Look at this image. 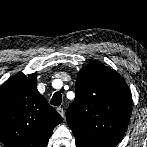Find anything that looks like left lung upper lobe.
<instances>
[{"label": "left lung upper lobe", "instance_id": "5c2ea615", "mask_svg": "<svg viewBox=\"0 0 147 147\" xmlns=\"http://www.w3.org/2000/svg\"><path fill=\"white\" fill-rule=\"evenodd\" d=\"M66 118L77 147H116L129 124L132 95L124 79L99 61L77 74Z\"/></svg>", "mask_w": 147, "mask_h": 147}]
</instances>
